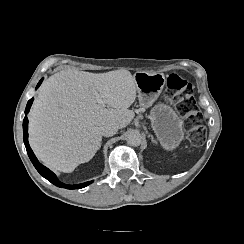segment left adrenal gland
Returning <instances> with one entry per match:
<instances>
[{"instance_id":"1","label":"left adrenal gland","mask_w":244,"mask_h":244,"mask_svg":"<svg viewBox=\"0 0 244 244\" xmlns=\"http://www.w3.org/2000/svg\"><path fill=\"white\" fill-rule=\"evenodd\" d=\"M150 136H151V141H152L153 143L157 144V141L154 140L153 136H152V135H150Z\"/></svg>"}]
</instances>
